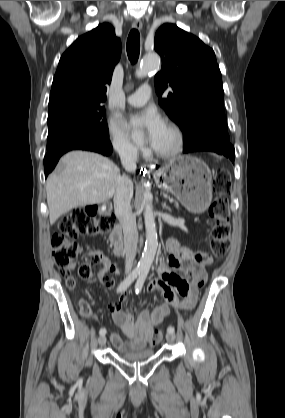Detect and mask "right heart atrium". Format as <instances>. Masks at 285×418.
Instances as JSON below:
<instances>
[{"mask_svg":"<svg viewBox=\"0 0 285 418\" xmlns=\"http://www.w3.org/2000/svg\"><path fill=\"white\" fill-rule=\"evenodd\" d=\"M108 141L113 150L122 158H134L138 155L139 148L130 141L122 128L111 127Z\"/></svg>","mask_w":285,"mask_h":418,"instance_id":"right-heart-atrium-1","label":"right heart atrium"}]
</instances>
